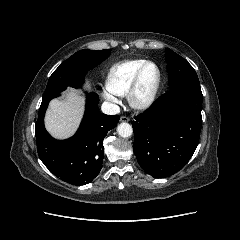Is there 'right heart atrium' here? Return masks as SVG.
I'll return each instance as SVG.
<instances>
[{"instance_id":"obj_1","label":"right heart atrium","mask_w":240,"mask_h":240,"mask_svg":"<svg viewBox=\"0 0 240 240\" xmlns=\"http://www.w3.org/2000/svg\"><path fill=\"white\" fill-rule=\"evenodd\" d=\"M103 95L108 101L113 102V103L117 102V98H116L115 94H113L109 90L104 91Z\"/></svg>"}]
</instances>
